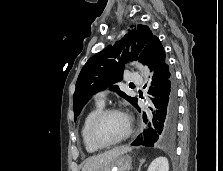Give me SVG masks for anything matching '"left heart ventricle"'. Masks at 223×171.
I'll use <instances>...</instances> for the list:
<instances>
[{
  "instance_id": "b2bd125f",
  "label": "left heart ventricle",
  "mask_w": 223,
  "mask_h": 171,
  "mask_svg": "<svg viewBox=\"0 0 223 171\" xmlns=\"http://www.w3.org/2000/svg\"><path fill=\"white\" fill-rule=\"evenodd\" d=\"M126 131V119L119 114H110L99 122L96 128V136L104 143H111L120 139Z\"/></svg>"
}]
</instances>
